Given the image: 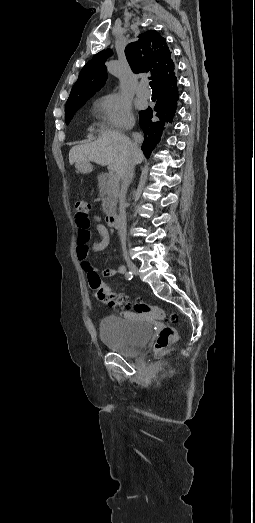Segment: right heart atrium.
Listing matches in <instances>:
<instances>
[{
	"instance_id": "1",
	"label": "right heart atrium",
	"mask_w": 255,
	"mask_h": 523,
	"mask_svg": "<svg viewBox=\"0 0 255 523\" xmlns=\"http://www.w3.org/2000/svg\"><path fill=\"white\" fill-rule=\"evenodd\" d=\"M99 106L107 120L108 129H129L134 123L131 106L117 95L100 98Z\"/></svg>"
}]
</instances>
